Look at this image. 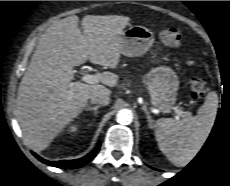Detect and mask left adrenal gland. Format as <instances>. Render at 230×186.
Listing matches in <instances>:
<instances>
[{
  "instance_id": "obj_1",
  "label": "left adrenal gland",
  "mask_w": 230,
  "mask_h": 186,
  "mask_svg": "<svg viewBox=\"0 0 230 186\" xmlns=\"http://www.w3.org/2000/svg\"><path fill=\"white\" fill-rule=\"evenodd\" d=\"M142 110L145 112L146 116H147V122H148V125L150 127H152V123H153V120H152V117L149 113V111L147 110V108L145 106L142 107Z\"/></svg>"
}]
</instances>
